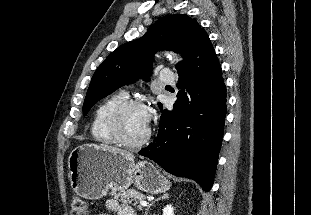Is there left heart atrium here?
<instances>
[{"label": "left heart atrium", "mask_w": 311, "mask_h": 215, "mask_svg": "<svg viewBox=\"0 0 311 215\" xmlns=\"http://www.w3.org/2000/svg\"><path fill=\"white\" fill-rule=\"evenodd\" d=\"M150 120H151V114H150V112L147 110V112H146V123H147V125H149Z\"/></svg>", "instance_id": "39dd6f15"}]
</instances>
